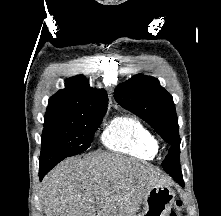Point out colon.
<instances>
[{"label":"colon","instance_id":"5ec220e1","mask_svg":"<svg viewBox=\"0 0 221 216\" xmlns=\"http://www.w3.org/2000/svg\"><path fill=\"white\" fill-rule=\"evenodd\" d=\"M182 209V201L177 200L175 202V210L170 213V216H180V211Z\"/></svg>","mask_w":221,"mask_h":216}]
</instances>
